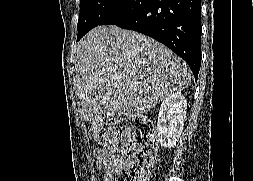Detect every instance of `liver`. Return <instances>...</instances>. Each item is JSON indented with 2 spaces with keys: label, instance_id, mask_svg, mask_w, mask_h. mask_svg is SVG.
I'll return each mask as SVG.
<instances>
[{
  "label": "liver",
  "instance_id": "6515ba94",
  "mask_svg": "<svg viewBox=\"0 0 253 181\" xmlns=\"http://www.w3.org/2000/svg\"><path fill=\"white\" fill-rule=\"evenodd\" d=\"M74 84L85 119L137 117L189 86L188 65L163 44L117 26H98L78 43Z\"/></svg>",
  "mask_w": 253,
  "mask_h": 181
}]
</instances>
